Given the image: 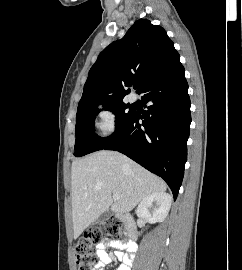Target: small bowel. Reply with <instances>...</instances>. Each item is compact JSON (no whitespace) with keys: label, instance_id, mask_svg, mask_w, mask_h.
<instances>
[{"label":"small bowel","instance_id":"small-bowel-1","mask_svg":"<svg viewBox=\"0 0 242 270\" xmlns=\"http://www.w3.org/2000/svg\"><path fill=\"white\" fill-rule=\"evenodd\" d=\"M108 247L116 249L115 256L121 261L116 270H130L133 262L132 254L136 251V244L130 241L120 242L116 240H105L98 245L96 251L98 262L94 270H103L106 265L112 263V259L106 251ZM133 248L135 249L134 252L132 251ZM123 250H126L128 253H125Z\"/></svg>","mask_w":242,"mask_h":270}]
</instances>
